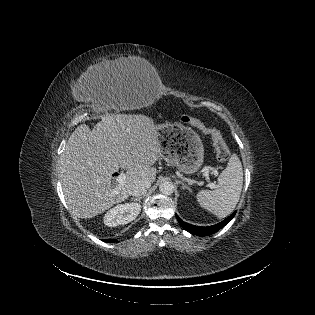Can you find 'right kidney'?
<instances>
[{"label":"right kidney","mask_w":315,"mask_h":315,"mask_svg":"<svg viewBox=\"0 0 315 315\" xmlns=\"http://www.w3.org/2000/svg\"><path fill=\"white\" fill-rule=\"evenodd\" d=\"M141 205L138 203H125L110 209L104 216V223L109 227H116L130 223L139 215Z\"/></svg>","instance_id":"1"}]
</instances>
